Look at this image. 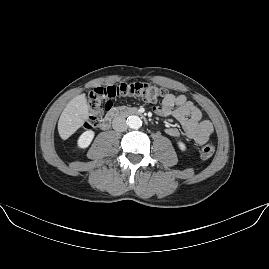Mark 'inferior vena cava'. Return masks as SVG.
Instances as JSON below:
<instances>
[{"label":"inferior vena cava","instance_id":"obj_1","mask_svg":"<svg viewBox=\"0 0 269 269\" xmlns=\"http://www.w3.org/2000/svg\"><path fill=\"white\" fill-rule=\"evenodd\" d=\"M112 127L114 130L123 132L128 128V124L124 117L118 116L112 120Z\"/></svg>","mask_w":269,"mask_h":269}]
</instances>
